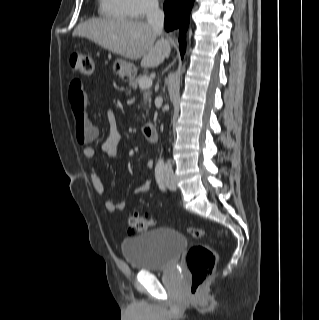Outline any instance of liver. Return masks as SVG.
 <instances>
[{"label":"liver","mask_w":319,"mask_h":320,"mask_svg":"<svg viewBox=\"0 0 319 320\" xmlns=\"http://www.w3.org/2000/svg\"><path fill=\"white\" fill-rule=\"evenodd\" d=\"M73 37H84L126 59L142 58L144 67H157L170 55L167 40L156 41L158 32L148 22L128 19H91L79 24Z\"/></svg>","instance_id":"1"}]
</instances>
